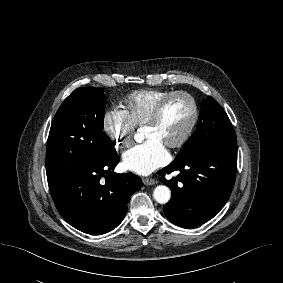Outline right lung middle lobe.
<instances>
[{
	"label": "right lung middle lobe",
	"mask_w": 283,
	"mask_h": 283,
	"mask_svg": "<svg viewBox=\"0 0 283 283\" xmlns=\"http://www.w3.org/2000/svg\"><path fill=\"white\" fill-rule=\"evenodd\" d=\"M98 87L74 90L57 111L48 137L47 177L92 164L114 145L102 132L107 99Z\"/></svg>",
	"instance_id": "obj_1"
}]
</instances>
